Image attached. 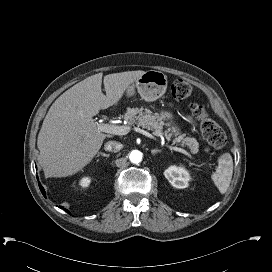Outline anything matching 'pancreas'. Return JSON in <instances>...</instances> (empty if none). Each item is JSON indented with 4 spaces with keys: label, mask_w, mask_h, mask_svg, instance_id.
I'll list each match as a JSON object with an SVG mask.
<instances>
[{
    "label": "pancreas",
    "mask_w": 272,
    "mask_h": 272,
    "mask_svg": "<svg viewBox=\"0 0 272 272\" xmlns=\"http://www.w3.org/2000/svg\"><path fill=\"white\" fill-rule=\"evenodd\" d=\"M123 119L130 126L138 125L155 133H163V122L156 114H152L148 108H127ZM169 131L170 129L164 133L167 139H170ZM180 141L188 145L193 153L198 152L199 143L194 137L183 138V135H180L175 139V142Z\"/></svg>",
    "instance_id": "1"
}]
</instances>
